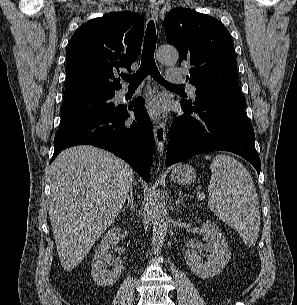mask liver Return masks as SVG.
Masks as SVG:
<instances>
[{
	"label": "liver",
	"instance_id": "6515ba94",
	"mask_svg": "<svg viewBox=\"0 0 297 305\" xmlns=\"http://www.w3.org/2000/svg\"><path fill=\"white\" fill-rule=\"evenodd\" d=\"M49 217L64 270L78 266L122 209L134 176L113 154L88 145L62 151L50 166Z\"/></svg>",
	"mask_w": 297,
	"mask_h": 305
}]
</instances>
